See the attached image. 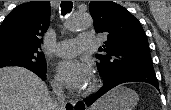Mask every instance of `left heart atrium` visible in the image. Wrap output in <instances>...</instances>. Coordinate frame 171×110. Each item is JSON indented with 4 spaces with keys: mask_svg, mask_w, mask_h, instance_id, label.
<instances>
[{
    "mask_svg": "<svg viewBox=\"0 0 171 110\" xmlns=\"http://www.w3.org/2000/svg\"><path fill=\"white\" fill-rule=\"evenodd\" d=\"M57 75L69 89L79 91L85 88L91 78V68L83 61L68 59L58 63Z\"/></svg>",
    "mask_w": 171,
    "mask_h": 110,
    "instance_id": "obj_1",
    "label": "left heart atrium"
}]
</instances>
